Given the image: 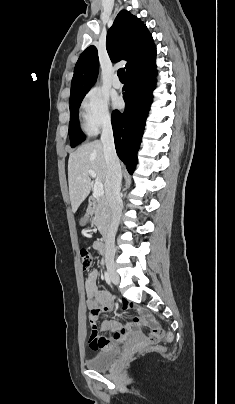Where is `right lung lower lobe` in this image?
Here are the masks:
<instances>
[{
  "label": "right lung lower lobe",
  "mask_w": 235,
  "mask_h": 404,
  "mask_svg": "<svg viewBox=\"0 0 235 404\" xmlns=\"http://www.w3.org/2000/svg\"><path fill=\"white\" fill-rule=\"evenodd\" d=\"M157 75L155 59L126 74L127 83L123 90L126 103L124 112L112 113V126L117 155L130 174L137 164V152L141 143L152 91Z\"/></svg>",
  "instance_id": "right-lung-lower-lobe-1"
}]
</instances>
